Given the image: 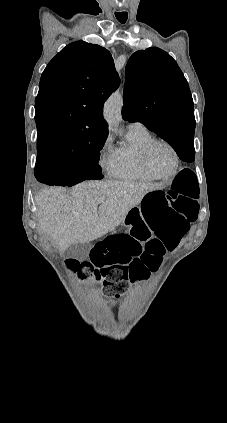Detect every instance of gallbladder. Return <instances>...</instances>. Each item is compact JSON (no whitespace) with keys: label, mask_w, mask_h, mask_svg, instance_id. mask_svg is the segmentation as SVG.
<instances>
[{"label":"gallbladder","mask_w":227,"mask_h":423,"mask_svg":"<svg viewBox=\"0 0 227 423\" xmlns=\"http://www.w3.org/2000/svg\"><path fill=\"white\" fill-rule=\"evenodd\" d=\"M93 245L88 241V243H73L67 249L68 255L70 257H74V259H79V261H84L87 259L89 255L90 249H92Z\"/></svg>","instance_id":"obj_1"}]
</instances>
